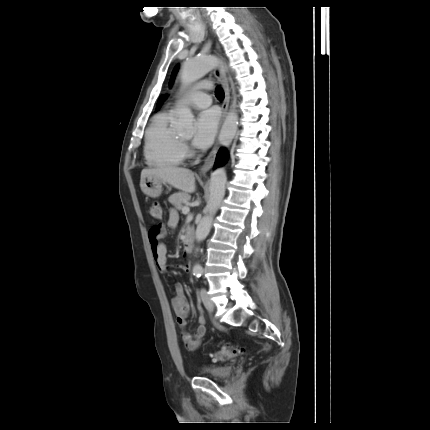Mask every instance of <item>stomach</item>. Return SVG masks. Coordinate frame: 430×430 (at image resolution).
<instances>
[{"instance_id": "stomach-1", "label": "stomach", "mask_w": 430, "mask_h": 430, "mask_svg": "<svg viewBox=\"0 0 430 430\" xmlns=\"http://www.w3.org/2000/svg\"><path fill=\"white\" fill-rule=\"evenodd\" d=\"M164 182L156 177L147 176L140 181V187L142 192L151 197L156 198L159 197L162 193V184Z\"/></svg>"}]
</instances>
